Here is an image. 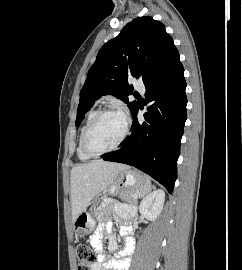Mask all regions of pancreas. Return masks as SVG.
Instances as JSON below:
<instances>
[{"mask_svg":"<svg viewBox=\"0 0 242 270\" xmlns=\"http://www.w3.org/2000/svg\"><path fill=\"white\" fill-rule=\"evenodd\" d=\"M136 195H137L136 192L123 191L122 199L123 201L129 203L130 205L136 206L137 205V200L135 198Z\"/></svg>","mask_w":242,"mask_h":270,"instance_id":"pancreas-1","label":"pancreas"}]
</instances>
